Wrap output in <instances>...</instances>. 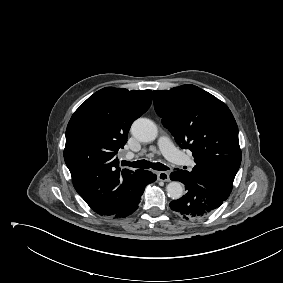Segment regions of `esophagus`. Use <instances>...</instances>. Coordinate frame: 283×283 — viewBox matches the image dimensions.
Here are the masks:
<instances>
[{
    "instance_id": "34e87169",
    "label": "esophagus",
    "mask_w": 283,
    "mask_h": 283,
    "mask_svg": "<svg viewBox=\"0 0 283 283\" xmlns=\"http://www.w3.org/2000/svg\"><path fill=\"white\" fill-rule=\"evenodd\" d=\"M157 178L160 181H164V182H169L170 181V177L169 174L165 171H160L157 173Z\"/></svg>"
}]
</instances>
